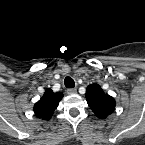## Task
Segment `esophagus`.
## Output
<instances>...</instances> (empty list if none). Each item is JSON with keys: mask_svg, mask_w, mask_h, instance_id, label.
<instances>
[{"mask_svg": "<svg viewBox=\"0 0 145 145\" xmlns=\"http://www.w3.org/2000/svg\"><path fill=\"white\" fill-rule=\"evenodd\" d=\"M67 94H75L77 92L76 88H69L66 90Z\"/></svg>", "mask_w": 145, "mask_h": 145, "instance_id": "34e87169", "label": "esophagus"}]
</instances>
